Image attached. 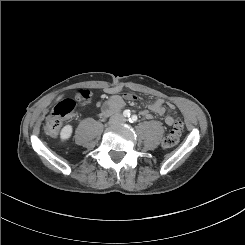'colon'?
<instances>
[{"mask_svg": "<svg viewBox=\"0 0 245 245\" xmlns=\"http://www.w3.org/2000/svg\"><path fill=\"white\" fill-rule=\"evenodd\" d=\"M91 98L92 95L88 90H78L71 96L63 99L47 114L44 124L45 132L50 136H56L63 119L73 116L76 113L78 105L89 102ZM182 127V122L176 120L173 128L163 139L162 146L164 148H172L179 142Z\"/></svg>", "mask_w": 245, "mask_h": 245, "instance_id": "obj_1", "label": "colon"}]
</instances>
